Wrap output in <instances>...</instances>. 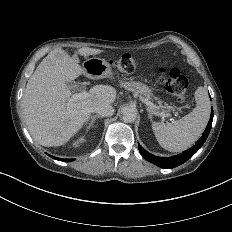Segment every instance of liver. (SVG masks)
<instances>
[{
    "instance_id": "6515ba94",
    "label": "liver",
    "mask_w": 232,
    "mask_h": 232,
    "mask_svg": "<svg viewBox=\"0 0 232 232\" xmlns=\"http://www.w3.org/2000/svg\"><path fill=\"white\" fill-rule=\"evenodd\" d=\"M80 56L98 55L103 49L81 47ZM78 57L63 48L52 49L29 78L22 97L24 119L31 136L46 147L68 144L83 128L94 107L113 105L117 91L110 85H95L89 95L69 101L67 83L87 74Z\"/></svg>"
}]
</instances>
